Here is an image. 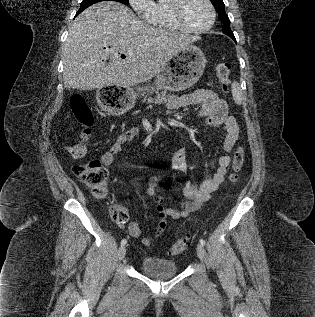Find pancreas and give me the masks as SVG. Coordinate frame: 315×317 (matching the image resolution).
<instances>
[{"label": "pancreas", "instance_id": "pancreas-1", "mask_svg": "<svg viewBox=\"0 0 315 317\" xmlns=\"http://www.w3.org/2000/svg\"><path fill=\"white\" fill-rule=\"evenodd\" d=\"M175 98L174 95H170V94H167V90L166 89H157L156 90V97L155 98H152V97H145V99L148 100V102H151V103H157V104H160V103H165L171 99Z\"/></svg>", "mask_w": 315, "mask_h": 317}]
</instances>
